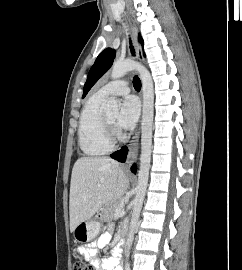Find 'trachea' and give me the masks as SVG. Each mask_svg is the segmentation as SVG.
<instances>
[{
	"label": "trachea",
	"instance_id": "obj_1",
	"mask_svg": "<svg viewBox=\"0 0 242 270\" xmlns=\"http://www.w3.org/2000/svg\"><path fill=\"white\" fill-rule=\"evenodd\" d=\"M130 49H131V53L134 54L135 51H134L133 46L131 45V43H130ZM133 84H134V88H135L136 90L139 91V90L141 89V81H140V79H139L138 76H135V77H134V79H133Z\"/></svg>",
	"mask_w": 242,
	"mask_h": 270
}]
</instances>
